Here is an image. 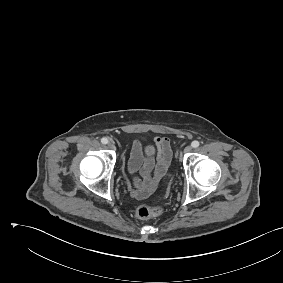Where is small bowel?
<instances>
[{
	"label": "small bowel",
	"mask_w": 283,
	"mask_h": 283,
	"mask_svg": "<svg viewBox=\"0 0 283 283\" xmlns=\"http://www.w3.org/2000/svg\"><path fill=\"white\" fill-rule=\"evenodd\" d=\"M152 142L158 151L156 160L153 155L145 154L142 139H135L132 145L129 170L135 173L142 169V178H133V183L138 187L133 196L138 199H143L151 193L171 162L169 140L165 137H155Z\"/></svg>",
	"instance_id": "1"
}]
</instances>
